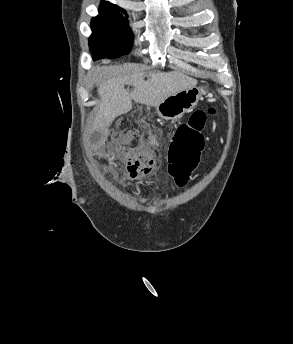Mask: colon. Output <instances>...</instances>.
<instances>
[{
	"mask_svg": "<svg viewBox=\"0 0 293 344\" xmlns=\"http://www.w3.org/2000/svg\"><path fill=\"white\" fill-rule=\"evenodd\" d=\"M216 110H196L176 129L170 145L171 166L177 186H183L199 162L204 149L203 130L209 116ZM128 175L133 182L147 179L153 168L152 153L148 147H138L127 153Z\"/></svg>",
	"mask_w": 293,
	"mask_h": 344,
	"instance_id": "5ec220e1",
	"label": "colon"
}]
</instances>
